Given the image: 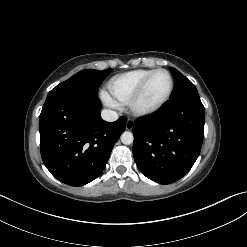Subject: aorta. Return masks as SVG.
Returning a JSON list of instances; mask_svg holds the SVG:
<instances>
[{"label":"aorta","instance_id":"1","mask_svg":"<svg viewBox=\"0 0 247 247\" xmlns=\"http://www.w3.org/2000/svg\"><path fill=\"white\" fill-rule=\"evenodd\" d=\"M134 140V136L131 132L125 131L121 135V142L125 145L132 144Z\"/></svg>","mask_w":247,"mask_h":247}]
</instances>
